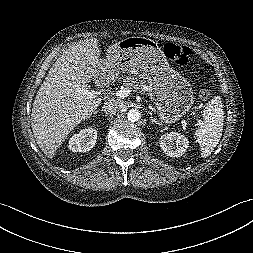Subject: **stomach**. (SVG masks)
<instances>
[{"instance_id":"obj_1","label":"stomach","mask_w":253,"mask_h":253,"mask_svg":"<svg viewBox=\"0 0 253 253\" xmlns=\"http://www.w3.org/2000/svg\"><path fill=\"white\" fill-rule=\"evenodd\" d=\"M120 70L148 80L149 94L161 122L179 120L193 104L189 82L172 69L158 43L145 37H129L113 44L101 73L114 76Z\"/></svg>"}]
</instances>
